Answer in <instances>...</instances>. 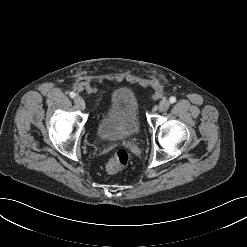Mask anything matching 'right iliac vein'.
I'll return each instance as SVG.
<instances>
[{"instance_id":"obj_1","label":"right iliac vein","mask_w":247,"mask_h":247,"mask_svg":"<svg viewBox=\"0 0 247 247\" xmlns=\"http://www.w3.org/2000/svg\"><path fill=\"white\" fill-rule=\"evenodd\" d=\"M74 102H75V104H76L80 109H84V108H85V101L83 100L82 97L76 96V97L74 98Z\"/></svg>"}]
</instances>
